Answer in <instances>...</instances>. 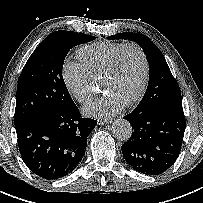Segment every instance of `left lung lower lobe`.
Instances as JSON below:
<instances>
[{
    "label": "left lung lower lobe",
    "instance_id": "0a47b994",
    "mask_svg": "<svg viewBox=\"0 0 203 203\" xmlns=\"http://www.w3.org/2000/svg\"><path fill=\"white\" fill-rule=\"evenodd\" d=\"M124 118L134 130L121 148L128 164L146 175H159L169 169L177 160L183 142L186 127L183 108L135 109Z\"/></svg>",
    "mask_w": 203,
    "mask_h": 203
}]
</instances>
